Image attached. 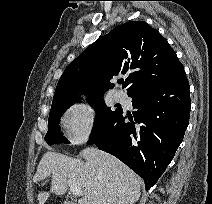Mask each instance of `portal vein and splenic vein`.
<instances>
[{"mask_svg":"<svg viewBox=\"0 0 212 204\" xmlns=\"http://www.w3.org/2000/svg\"><path fill=\"white\" fill-rule=\"evenodd\" d=\"M68 185L70 187V191L74 196H82V190L77 186V184L71 179L68 180Z\"/></svg>","mask_w":212,"mask_h":204,"instance_id":"1","label":"portal vein and splenic vein"}]
</instances>
